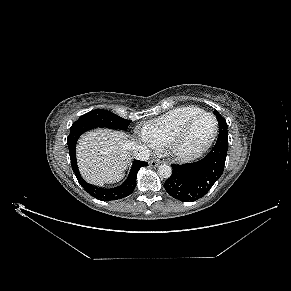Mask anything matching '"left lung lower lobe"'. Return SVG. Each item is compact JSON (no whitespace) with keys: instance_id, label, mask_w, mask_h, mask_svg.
<instances>
[{"instance_id":"obj_1","label":"left lung lower lobe","mask_w":291,"mask_h":291,"mask_svg":"<svg viewBox=\"0 0 291 291\" xmlns=\"http://www.w3.org/2000/svg\"><path fill=\"white\" fill-rule=\"evenodd\" d=\"M228 149V137L219 133L213 149L200 161L172 165V175L164 183L173 198L193 202L205 196L223 173Z\"/></svg>"}]
</instances>
